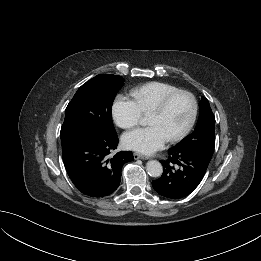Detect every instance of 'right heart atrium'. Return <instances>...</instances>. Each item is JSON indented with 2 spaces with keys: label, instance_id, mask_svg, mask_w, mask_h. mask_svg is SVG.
Masks as SVG:
<instances>
[{
  "label": "right heart atrium",
  "instance_id": "right-heart-atrium-1",
  "mask_svg": "<svg viewBox=\"0 0 261 261\" xmlns=\"http://www.w3.org/2000/svg\"><path fill=\"white\" fill-rule=\"evenodd\" d=\"M143 112L136 100L124 95H119L112 106V116L115 123L124 129L136 126L141 120Z\"/></svg>",
  "mask_w": 261,
  "mask_h": 261
}]
</instances>
